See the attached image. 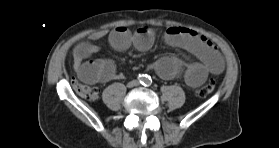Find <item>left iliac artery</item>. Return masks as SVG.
Wrapping results in <instances>:
<instances>
[{"label": "left iliac artery", "instance_id": "44dca946", "mask_svg": "<svg viewBox=\"0 0 279 148\" xmlns=\"http://www.w3.org/2000/svg\"><path fill=\"white\" fill-rule=\"evenodd\" d=\"M151 82H152V80H151V78H149V79H147V81H146V86H149V85H151Z\"/></svg>", "mask_w": 279, "mask_h": 148}]
</instances>
